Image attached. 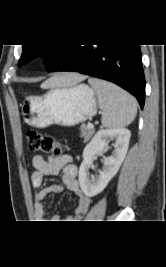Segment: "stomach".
I'll list each match as a JSON object with an SVG mask.
<instances>
[{
  "mask_svg": "<svg viewBox=\"0 0 166 267\" xmlns=\"http://www.w3.org/2000/svg\"><path fill=\"white\" fill-rule=\"evenodd\" d=\"M94 90L86 84L53 87L42 96H30L22 105L24 120L44 128L52 124L74 126L97 113Z\"/></svg>",
  "mask_w": 166,
  "mask_h": 267,
  "instance_id": "obj_1",
  "label": "stomach"
}]
</instances>
